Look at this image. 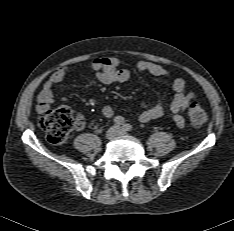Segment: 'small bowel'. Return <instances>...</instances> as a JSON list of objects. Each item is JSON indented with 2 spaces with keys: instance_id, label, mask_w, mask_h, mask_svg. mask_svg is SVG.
Wrapping results in <instances>:
<instances>
[{
  "instance_id": "1",
  "label": "small bowel",
  "mask_w": 234,
  "mask_h": 231,
  "mask_svg": "<svg viewBox=\"0 0 234 231\" xmlns=\"http://www.w3.org/2000/svg\"><path fill=\"white\" fill-rule=\"evenodd\" d=\"M90 68L94 71L96 78L103 84L122 83L131 78L130 71L127 69H120L119 60L112 56L96 57L92 59ZM137 69L140 72L148 73L156 77L169 76V71L166 68L152 62L140 61L137 64ZM69 71V67H60L44 82L41 91L37 95V108L39 111H46L50 105L54 103L53 88L63 81ZM172 89L175 95L170 103L169 113L165 111L160 100L152 105L142 103L139 121L146 123L151 120L169 117L178 128H183L185 119L182 114L187 109L190 102L195 99V94L186 90V82L180 77L173 81ZM102 113L105 117L111 118L114 115V110L110 105H104L102 107ZM83 127L84 119L81 115H78L74 124V129L81 130Z\"/></svg>"
}]
</instances>
